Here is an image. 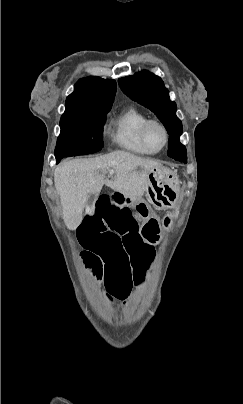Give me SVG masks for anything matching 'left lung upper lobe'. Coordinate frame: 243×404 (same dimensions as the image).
Instances as JSON below:
<instances>
[{"mask_svg": "<svg viewBox=\"0 0 243 404\" xmlns=\"http://www.w3.org/2000/svg\"><path fill=\"white\" fill-rule=\"evenodd\" d=\"M118 83L128 97L149 108L163 123L169 134L168 156L177 161L187 160L186 148L179 140L182 123L176 116V104L170 100L162 79L149 71H141L120 78Z\"/></svg>", "mask_w": 243, "mask_h": 404, "instance_id": "obj_1", "label": "left lung upper lobe"}]
</instances>
